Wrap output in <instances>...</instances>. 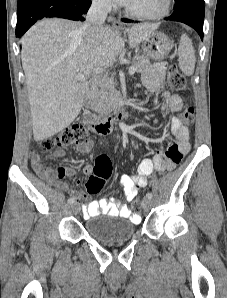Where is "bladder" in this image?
Segmentation results:
<instances>
[{"label": "bladder", "instance_id": "obj_1", "mask_svg": "<svg viewBox=\"0 0 227 298\" xmlns=\"http://www.w3.org/2000/svg\"><path fill=\"white\" fill-rule=\"evenodd\" d=\"M85 229L97 242L111 245L132 239L136 233V224L128 219H89L85 223Z\"/></svg>", "mask_w": 227, "mask_h": 298}]
</instances>
